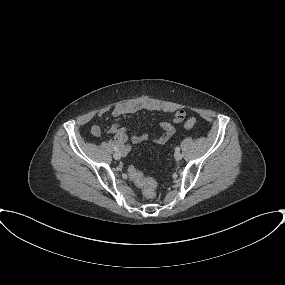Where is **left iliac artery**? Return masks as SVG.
<instances>
[{"label": "left iliac artery", "instance_id": "44dca946", "mask_svg": "<svg viewBox=\"0 0 285 285\" xmlns=\"http://www.w3.org/2000/svg\"><path fill=\"white\" fill-rule=\"evenodd\" d=\"M175 151H176V152H179V151H180V148H179V147H176V148H175Z\"/></svg>", "mask_w": 285, "mask_h": 285}]
</instances>
